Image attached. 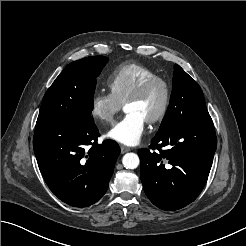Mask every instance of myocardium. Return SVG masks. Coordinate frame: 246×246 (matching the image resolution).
Segmentation results:
<instances>
[{"instance_id": "myocardium-1", "label": "myocardium", "mask_w": 246, "mask_h": 246, "mask_svg": "<svg viewBox=\"0 0 246 246\" xmlns=\"http://www.w3.org/2000/svg\"><path fill=\"white\" fill-rule=\"evenodd\" d=\"M155 84H160L163 87L164 99L159 111L154 116L146 120L149 124H156L162 121L168 112L171 102V86L165 78L155 75L146 79L127 97L124 102V105H126L129 102L141 99Z\"/></svg>"}]
</instances>
